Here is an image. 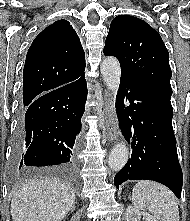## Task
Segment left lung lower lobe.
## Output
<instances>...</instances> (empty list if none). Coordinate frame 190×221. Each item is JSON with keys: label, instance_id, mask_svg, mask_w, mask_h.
Masks as SVG:
<instances>
[{"label": "left lung lower lobe", "instance_id": "left-lung-lower-lobe-1", "mask_svg": "<svg viewBox=\"0 0 190 221\" xmlns=\"http://www.w3.org/2000/svg\"><path fill=\"white\" fill-rule=\"evenodd\" d=\"M170 92L121 79L116 98L119 125L133 148L127 164L115 175L114 184L127 180H153L180 198L183 176L172 127ZM125 101L129 106L125 107Z\"/></svg>", "mask_w": 190, "mask_h": 221}]
</instances>
